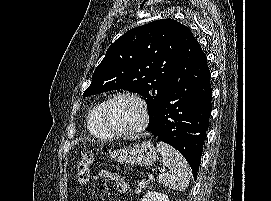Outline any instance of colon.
Wrapping results in <instances>:
<instances>
[{"instance_id":"colon-1","label":"colon","mask_w":271,"mask_h":201,"mask_svg":"<svg viewBox=\"0 0 271 201\" xmlns=\"http://www.w3.org/2000/svg\"><path fill=\"white\" fill-rule=\"evenodd\" d=\"M93 153L92 152H86L80 162L78 163L77 166V178L78 182L81 185H86L89 180V171H90V165L93 161Z\"/></svg>"}]
</instances>
